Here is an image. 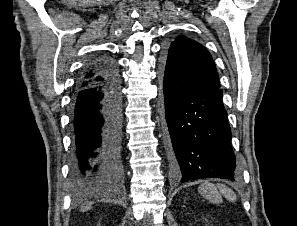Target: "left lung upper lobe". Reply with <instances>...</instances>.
Listing matches in <instances>:
<instances>
[{
  "instance_id": "left-lung-upper-lobe-1",
  "label": "left lung upper lobe",
  "mask_w": 297,
  "mask_h": 226,
  "mask_svg": "<svg viewBox=\"0 0 297 226\" xmlns=\"http://www.w3.org/2000/svg\"><path fill=\"white\" fill-rule=\"evenodd\" d=\"M162 69L194 90H207L220 86L217 69L210 53L201 44L179 36L174 40L162 60Z\"/></svg>"
}]
</instances>
